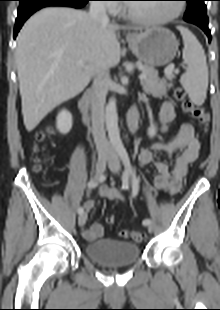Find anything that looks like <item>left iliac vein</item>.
Masks as SVG:
<instances>
[{"mask_svg":"<svg viewBox=\"0 0 220 310\" xmlns=\"http://www.w3.org/2000/svg\"><path fill=\"white\" fill-rule=\"evenodd\" d=\"M109 168L110 170L117 174L120 171V162H119V158L117 155H112L109 161ZM148 228V231L150 233H152L154 231V225L150 222L149 224L146 225Z\"/></svg>","mask_w":220,"mask_h":310,"instance_id":"1","label":"left iliac vein"}]
</instances>
